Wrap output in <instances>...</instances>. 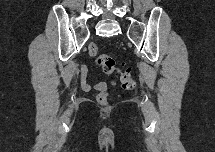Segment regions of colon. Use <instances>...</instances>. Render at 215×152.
I'll use <instances>...</instances> for the list:
<instances>
[{
    "instance_id": "colon-1",
    "label": "colon",
    "mask_w": 215,
    "mask_h": 152,
    "mask_svg": "<svg viewBox=\"0 0 215 152\" xmlns=\"http://www.w3.org/2000/svg\"><path fill=\"white\" fill-rule=\"evenodd\" d=\"M88 53L91 57H96V63L100 66L106 74H115L121 83L123 89L131 91L136 86V81L132 74L116 65L115 61L106 54L98 55V47L96 44L91 43L88 47ZM107 93H100L97 95V101L101 104L106 103Z\"/></svg>"
}]
</instances>
